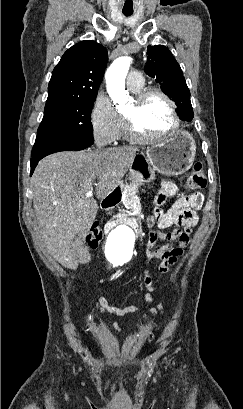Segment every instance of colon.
I'll use <instances>...</instances> for the list:
<instances>
[{"instance_id":"colon-1","label":"colon","mask_w":243,"mask_h":409,"mask_svg":"<svg viewBox=\"0 0 243 409\" xmlns=\"http://www.w3.org/2000/svg\"><path fill=\"white\" fill-rule=\"evenodd\" d=\"M207 180L204 173L202 164L200 162L195 163L192 172L187 178L186 186L190 190H200L206 186ZM149 223L152 224L153 220L150 219ZM103 236L102 229L99 225L93 224L86 237L87 244L90 247H97Z\"/></svg>"}]
</instances>
